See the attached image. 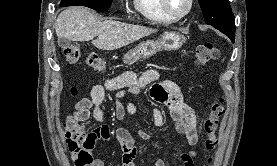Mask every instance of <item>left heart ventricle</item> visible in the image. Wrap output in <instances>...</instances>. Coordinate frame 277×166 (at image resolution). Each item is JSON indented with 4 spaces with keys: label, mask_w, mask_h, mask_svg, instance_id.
<instances>
[{
    "label": "left heart ventricle",
    "mask_w": 277,
    "mask_h": 166,
    "mask_svg": "<svg viewBox=\"0 0 277 166\" xmlns=\"http://www.w3.org/2000/svg\"><path fill=\"white\" fill-rule=\"evenodd\" d=\"M170 9L174 13H182L188 6V0H167Z\"/></svg>",
    "instance_id": "obj_1"
}]
</instances>
